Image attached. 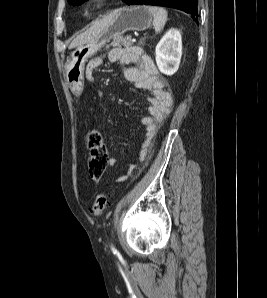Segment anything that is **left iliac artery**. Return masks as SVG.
<instances>
[{
	"instance_id": "1",
	"label": "left iliac artery",
	"mask_w": 267,
	"mask_h": 298,
	"mask_svg": "<svg viewBox=\"0 0 267 298\" xmlns=\"http://www.w3.org/2000/svg\"><path fill=\"white\" fill-rule=\"evenodd\" d=\"M111 250H112L113 254H118L117 249L113 245H111Z\"/></svg>"
}]
</instances>
